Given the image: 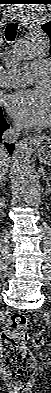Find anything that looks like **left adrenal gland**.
<instances>
[{"mask_svg": "<svg viewBox=\"0 0 51 393\" xmlns=\"http://www.w3.org/2000/svg\"><path fill=\"white\" fill-rule=\"evenodd\" d=\"M42 171H43V169H42ZM43 175H44V173H43ZM46 181H47V185H48V188H49V189H47V192H49V190H50V183H49L48 180H46Z\"/></svg>", "mask_w": 51, "mask_h": 393, "instance_id": "a2214340", "label": "left adrenal gland"}]
</instances>
